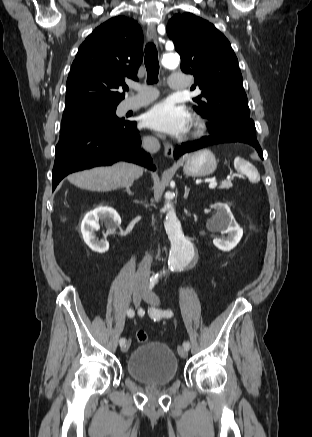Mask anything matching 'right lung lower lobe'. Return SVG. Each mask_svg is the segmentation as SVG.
<instances>
[{"mask_svg": "<svg viewBox=\"0 0 312 437\" xmlns=\"http://www.w3.org/2000/svg\"><path fill=\"white\" fill-rule=\"evenodd\" d=\"M136 122L124 121L83 132L56 146L52 172L53 190L68 174L125 160L155 170L152 158L140 148Z\"/></svg>", "mask_w": 312, "mask_h": 437, "instance_id": "98d812e1", "label": "right lung lower lobe"}]
</instances>
